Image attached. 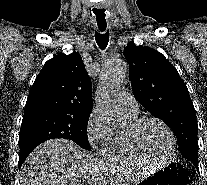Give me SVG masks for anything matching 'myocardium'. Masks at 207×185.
<instances>
[{"label": "myocardium", "instance_id": "f54148a6", "mask_svg": "<svg viewBox=\"0 0 207 185\" xmlns=\"http://www.w3.org/2000/svg\"><path fill=\"white\" fill-rule=\"evenodd\" d=\"M157 122L159 124H161L169 133L171 140H172V148L170 153L164 157V158H155L153 157L151 154H149L147 152V150L145 149V147L143 146L141 140H140V131L143 128V126L148 123V122ZM126 134H127V138L130 142V144L132 145V147L137 150L140 154H142L144 157H146L148 160L153 161L155 163H166L168 161H170L177 150V138L176 135L173 131V129L170 127V125L168 123H166L164 120H162L161 118L158 117H154V116H146V117H141L138 118L136 120H134L133 122H131V124L129 125V127L126 130Z\"/></svg>", "mask_w": 207, "mask_h": 185}]
</instances>
